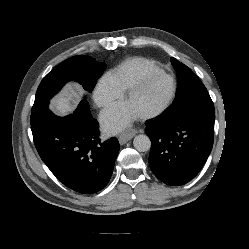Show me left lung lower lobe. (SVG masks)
Wrapping results in <instances>:
<instances>
[{
  "instance_id": "obj_1",
  "label": "left lung lower lobe",
  "mask_w": 249,
  "mask_h": 249,
  "mask_svg": "<svg viewBox=\"0 0 249 249\" xmlns=\"http://www.w3.org/2000/svg\"><path fill=\"white\" fill-rule=\"evenodd\" d=\"M214 113L188 116L170 122L158 117L146 122L151 139L149 165L168 185L192 180L205 164L214 141Z\"/></svg>"
}]
</instances>
